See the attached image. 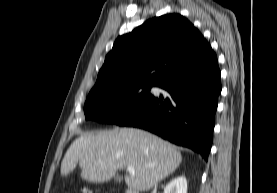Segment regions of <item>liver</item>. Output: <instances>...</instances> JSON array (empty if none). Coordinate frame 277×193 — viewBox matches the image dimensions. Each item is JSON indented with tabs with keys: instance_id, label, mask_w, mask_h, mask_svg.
<instances>
[{
	"instance_id": "obj_1",
	"label": "liver",
	"mask_w": 277,
	"mask_h": 193,
	"mask_svg": "<svg viewBox=\"0 0 277 193\" xmlns=\"http://www.w3.org/2000/svg\"><path fill=\"white\" fill-rule=\"evenodd\" d=\"M181 161V153L168 141L144 130L115 127L77 138L62 160L61 175L67 176L79 163L82 179L100 183L133 166L135 172L125 175V183L144 192L172 174Z\"/></svg>"
}]
</instances>
